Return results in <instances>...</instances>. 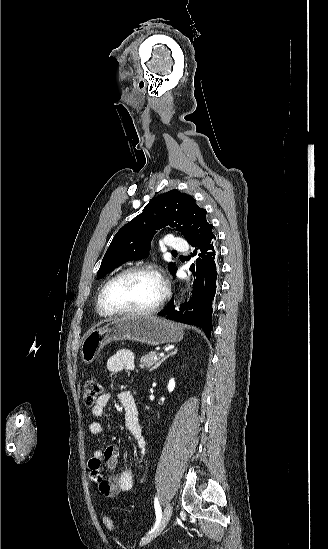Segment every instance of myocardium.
<instances>
[{
  "label": "myocardium",
  "instance_id": "1",
  "mask_svg": "<svg viewBox=\"0 0 328 549\" xmlns=\"http://www.w3.org/2000/svg\"><path fill=\"white\" fill-rule=\"evenodd\" d=\"M159 268H164V266L159 262L154 261H140V262H134L131 264H128L124 266L121 270H119L113 277H111L102 287L98 301H99V308L101 312L112 318H123V317H130V316H148L156 313L160 307L162 306L163 302L166 299L167 296V284L162 277V275L159 272ZM147 271L154 275H156L160 281L162 282V292L159 298L149 307L142 308V309H128V310H121L117 311L112 309L106 300V294L109 289V287L120 277L123 275L132 272V271Z\"/></svg>",
  "mask_w": 328,
  "mask_h": 549
}]
</instances>
